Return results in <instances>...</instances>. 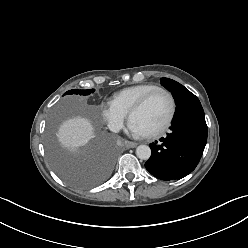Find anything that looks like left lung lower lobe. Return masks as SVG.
Segmentation results:
<instances>
[{"mask_svg":"<svg viewBox=\"0 0 248 248\" xmlns=\"http://www.w3.org/2000/svg\"><path fill=\"white\" fill-rule=\"evenodd\" d=\"M171 133L150 144L146 169L162 180L181 179L197 166L207 142L205 115L198 98L189 93L176 104Z\"/></svg>","mask_w":248,"mask_h":248,"instance_id":"left-lung-lower-lobe-1","label":"left lung lower lobe"}]
</instances>
